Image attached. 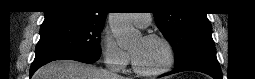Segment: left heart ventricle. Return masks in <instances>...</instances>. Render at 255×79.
Wrapping results in <instances>:
<instances>
[{"instance_id": "left-heart-ventricle-1", "label": "left heart ventricle", "mask_w": 255, "mask_h": 79, "mask_svg": "<svg viewBox=\"0 0 255 79\" xmlns=\"http://www.w3.org/2000/svg\"><path fill=\"white\" fill-rule=\"evenodd\" d=\"M137 65L147 71L159 69L166 61L165 45L158 40H138L130 50Z\"/></svg>"}]
</instances>
